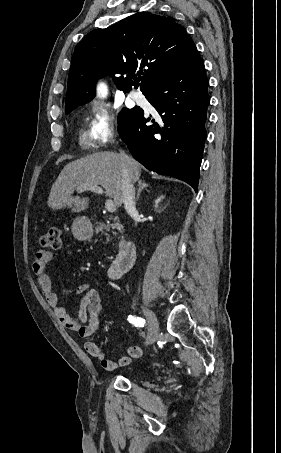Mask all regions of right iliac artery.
I'll list each match as a JSON object with an SVG mask.
<instances>
[{
    "instance_id": "1",
    "label": "right iliac artery",
    "mask_w": 281,
    "mask_h": 453,
    "mask_svg": "<svg viewBox=\"0 0 281 453\" xmlns=\"http://www.w3.org/2000/svg\"><path fill=\"white\" fill-rule=\"evenodd\" d=\"M128 321L132 324H134L136 327H144L145 320L140 318V317H135V316H128Z\"/></svg>"
}]
</instances>
